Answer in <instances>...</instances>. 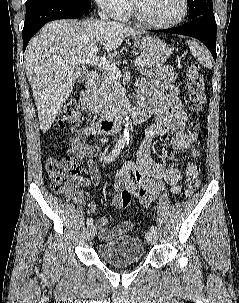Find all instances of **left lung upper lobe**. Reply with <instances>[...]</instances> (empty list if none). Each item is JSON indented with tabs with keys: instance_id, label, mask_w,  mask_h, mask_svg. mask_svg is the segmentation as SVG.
Returning <instances> with one entry per match:
<instances>
[{
	"instance_id": "5c2ea615",
	"label": "left lung upper lobe",
	"mask_w": 239,
	"mask_h": 303,
	"mask_svg": "<svg viewBox=\"0 0 239 303\" xmlns=\"http://www.w3.org/2000/svg\"><path fill=\"white\" fill-rule=\"evenodd\" d=\"M189 5L188 20H193L199 16L213 15L212 0H187Z\"/></svg>"
}]
</instances>
